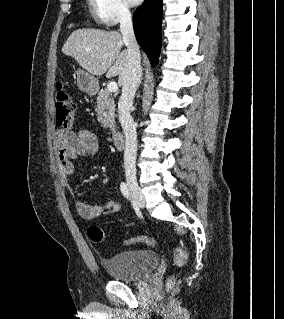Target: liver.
Here are the masks:
<instances>
[{
  "mask_svg": "<svg viewBox=\"0 0 284 319\" xmlns=\"http://www.w3.org/2000/svg\"><path fill=\"white\" fill-rule=\"evenodd\" d=\"M124 44L117 31L77 29L66 40L62 52L73 57L91 75L118 76V85L122 86L129 63L128 51H121Z\"/></svg>",
  "mask_w": 284,
  "mask_h": 319,
  "instance_id": "6515ba94",
  "label": "liver"
}]
</instances>
